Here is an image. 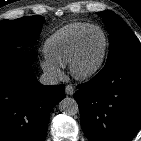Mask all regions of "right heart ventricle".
<instances>
[{
  "label": "right heart ventricle",
  "mask_w": 141,
  "mask_h": 141,
  "mask_svg": "<svg viewBox=\"0 0 141 141\" xmlns=\"http://www.w3.org/2000/svg\"><path fill=\"white\" fill-rule=\"evenodd\" d=\"M89 26V23L74 22L58 29L44 44L46 57L60 66L69 65L79 36Z\"/></svg>",
  "instance_id": "obj_1"
}]
</instances>
